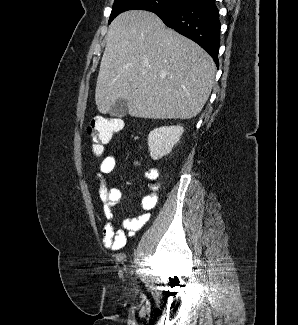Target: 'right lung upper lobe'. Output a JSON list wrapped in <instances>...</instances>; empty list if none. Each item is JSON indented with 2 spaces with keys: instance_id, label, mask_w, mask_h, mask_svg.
I'll return each mask as SVG.
<instances>
[{
  "instance_id": "obj_1",
  "label": "right lung upper lobe",
  "mask_w": 298,
  "mask_h": 325,
  "mask_svg": "<svg viewBox=\"0 0 298 325\" xmlns=\"http://www.w3.org/2000/svg\"><path fill=\"white\" fill-rule=\"evenodd\" d=\"M158 13H160V12H165V11H157Z\"/></svg>"
}]
</instances>
